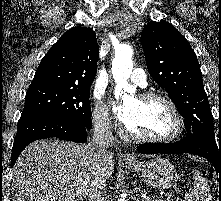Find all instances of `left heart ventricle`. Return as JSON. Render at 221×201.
Listing matches in <instances>:
<instances>
[{
	"instance_id": "b2bd125f",
	"label": "left heart ventricle",
	"mask_w": 221,
	"mask_h": 201,
	"mask_svg": "<svg viewBox=\"0 0 221 201\" xmlns=\"http://www.w3.org/2000/svg\"><path fill=\"white\" fill-rule=\"evenodd\" d=\"M124 104L127 107V114L122 122L130 131L152 137H164L173 133L175 121L163 102L140 101L132 97Z\"/></svg>"
}]
</instances>
